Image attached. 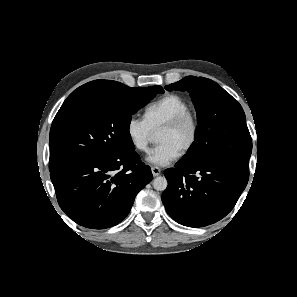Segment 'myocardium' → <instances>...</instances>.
Wrapping results in <instances>:
<instances>
[{"label": "myocardium", "mask_w": 297, "mask_h": 297, "mask_svg": "<svg viewBox=\"0 0 297 297\" xmlns=\"http://www.w3.org/2000/svg\"><path fill=\"white\" fill-rule=\"evenodd\" d=\"M188 124L190 126V135L185 143V145L182 147L180 150V153L186 154L189 152L192 147L195 145L199 133V121L197 116L195 115L194 112H192L190 109L183 111L176 115L174 118L166 122L160 129L161 130H167V131H172L179 129L183 125Z\"/></svg>", "instance_id": "f54148a6"}]
</instances>
